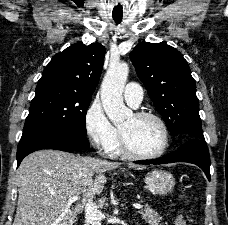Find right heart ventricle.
<instances>
[{
    "label": "right heart ventricle",
    "instance_id": "e07e8e85",
    "mask_svg": "<svg viewBox=\"0 0 228 225\" xmlns=\"http://www.w3.org/2000/svg\"><path fill=\"white\" fill-rule=\"evenodd\" d=\"M105 151L110 156H118L122 154L120 147V134L111 145L105 148Z\"/></svg>",
    "mask_w": 228,
    "mask_h": 225
}]
</instances>
